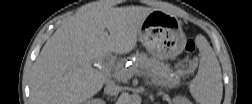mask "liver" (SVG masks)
I'll list each match as a JSON object with an SVG mask.
<instances>
[{
	"label": "liver",
	"mask_w": 252,
	"mask_h": 104,
	"mask_svg": "<svg viewBox=\"0 0 252 104\" xmlns=\"http://www.w3.org/2000/svg\"><path fill=\"white\" fill-rule=\"evenodd\" d=\"M154 10L142 6L107 7L95 2L64 21L33 65V102L79 104L97 94L107 77L91 62L110 52H131L143 21Z\"/></svg>",
	"instance_id": "obj_1"
}]
</instances>
